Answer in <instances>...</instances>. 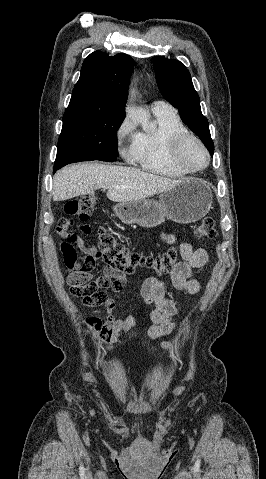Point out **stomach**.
I'll list each match as a JSON object with an SVG mask.
<instances>
[{"label": "stomach", "instance_id": "obj_1", "mask_svg": "<svg viewBox=\"0 0 266 479\" xmlns=\"http://www.w3.org/2000/svg\"><path fill=\"white\" fill-rule=\"evenodd\" d=\"M212 205L209 186L198 179H187L162 192L159 200H132L113 207L117 217L125 224H138L152 228L165 219L188 224L203 218Z\"/></svg>", "mask_w": 266, "mask_h": 479}]
</instances>
